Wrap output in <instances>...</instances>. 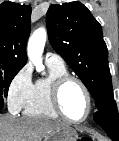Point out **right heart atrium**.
I'll return each instance as SVG.
<instances>
[{
  "label": "right heart atrium",
  "instance_id": "right-heart-atrium-1",
  "mask_svg": "<svg viewBox=\"0 0 119 141\" xmlns=\"http://www.w3.org/2000/svg\"><path fill=\"white\" fill-rule=\"evenodd\" d=\"M32 69L30 65L22 67L12 78L7 90V102L11 112L24 109L32 91Z\"/></svg>",
  "mask_w": 119,
  "mask_h": 141
}]
</instances>
